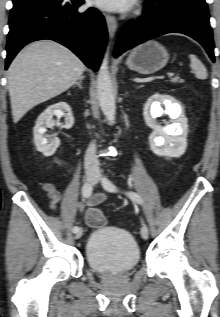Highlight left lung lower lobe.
Instances as JSON below:
<instances>
[{"label": "left lung lower lobe", "instance_id": "left-lung-lower-lobe-1", "mask_svg": "<svg viewBox=\"0 0 220 317\" xmlns=\"http://www.w3.org/2000/svg\"><path fill=\"white\" fill-rule=\"evenodd\" d=\"M186 34L198 41L214 58V42L205 0H146L144 15L123 26L114 56L159 35Z\"/></svg>", "mask_w": 220, "mask_h": 317}]
</instances>
